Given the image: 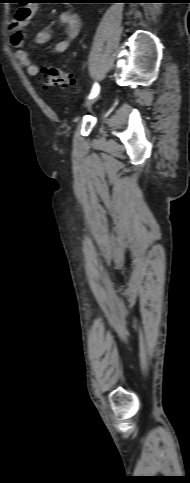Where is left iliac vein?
<instances>
[{
  "instance_id": "left-iliac-vein-1",
  "label": "left iliac vein",
  "mask_w": 190,
  "mask_h": 483,
  "mask_svg": "<svg viewBox=\"0 0 190 483\" xmlns=\"http://www.w3.org/2000/svg\"><path fill=\"white\" fill-rule=\"evenodd\" d=\"M95 101H96V97H95L94 99L90 100L89 102H87V103L84 105V107H89V106H91V105H92V104H93Z\"/></svg>"
}]
</instances>
